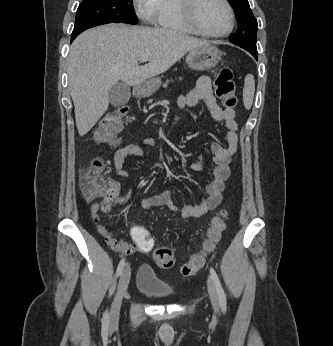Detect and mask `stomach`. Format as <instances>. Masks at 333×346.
I'll return each mask as SVG.
<instances>
[{
	"label": "stomach",
	"mask_w": 333,
	"mask_h": 346,
	"mask_svg": "<svg viewBox=\"0 0 333 346\" xmlns=\"http://www.w3.org/2000/svg\"><path fill=\"white\" fill-rule=\"evenodd\" d=\"M221 60L220 50L213 45H204L188 52L186 63L189 68L205 71L215 67ZM161 85L160 78L149 79L134 88V94L139 98L151 96Z\"/></svg>",
	"instance_id": "1"
}]
</instances>
